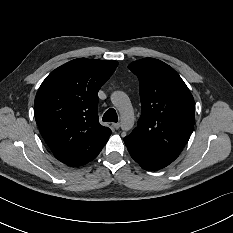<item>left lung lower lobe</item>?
<instances>
[{
  "label": "left lung lower lobe",
  "instance_id": "0a47b994",
  "mask_svg": "<svg viewBox=\"0 0 233 233\" xmlns=\"http://www.w3.org/2000/svg\"><path fill=\"white\" fill-rule=\"evenodd\" d=\"M124 142L131 157L145 170L162 169L178 157L149 146L130 135L124 138Z\"/></svg>",
  "mask_w": 233,
  "mask_h": 233
}]
</instances>
